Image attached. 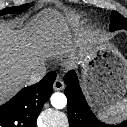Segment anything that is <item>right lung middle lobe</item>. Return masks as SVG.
<instances>
[{
	"label": "right lung middle lobe",
	"mask_w": 127,
	"mask_h": 127,
	"mask_svg": "<svg viewBox=\"0 0 127 127\" xmlns=\"http://www.w3.org/2000/svg\"><path fill=\"white\" fill-rule=\"evenodd\" d=\"M29 4H24L17 7H8L0 11V16L5 15L7 13H19L28 8Z\"/></svg>",
	"instance_id": "right-lung-middle-lobe-1"
}]
</instances>
